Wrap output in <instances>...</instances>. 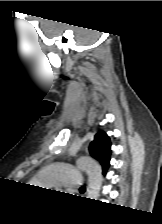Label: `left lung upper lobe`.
Returning a JSON list of instances; mask_svg holds the SVG:
<instances>
[{
  "instance_id": "obj_1",
  "label": "left lung upper lobe",
  "mask_w": 162,
  "mask_h": 224,
  "mask_svg": "<svg viewBox=\"0 0 162 224\" xmlns=\"http://www.w3.org/2000/svg\"><path fill=\"white\" fill-rule=\"evenodd\" d=\"M89 151L91 156L101 163L103 171L106 172L110 165L111 155V142L108 135L104 132L97 133L89 146Z\"/></svg>"
}]
</instances>
